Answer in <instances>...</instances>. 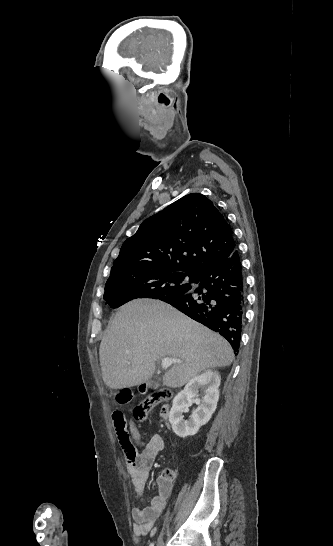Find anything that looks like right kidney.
I'll return each mask as SVG.
<instances>
[{"instance_id":"obj_1","label":"right kidney","mask_w":333,"mask_h":546,"mask_svg":"<svg viewBox=\"0 0 333 546\" xmlns=\"http://www.w3.org/2000/svg\"><path fill=\"white\" fill-rule=\"evenodd\" d=\"M219 372L206 370L198 376L191 379L184 389L174 398L169 421L174 433L185 438L195 435L201 426L205 425L216 410L219 399ZM199 388L204 391L202 404L192 412L188 420H184L183 414L188 412L193 403V398L197 396Z\"/></svg>"}]
</instances>
